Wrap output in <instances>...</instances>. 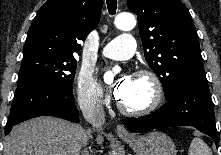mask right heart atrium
Instances as JSON below:
<instances>
[{
    "mask_svg": "<svg viewBox=\"0 0 221 155\" xmlns=\"http://www.w3.org/2000/svg\"><path fill=\"white\" fill-rule=\"evenodd\" d=\"M76 95L79 103L84 106L99 107L106 102L101 86L88 70H82L77 77Z\"/></svg>",
    "mask_w": 221,
    "mask_h": 155,
    "instance_id": "d8ad5b80",
    "label": "right heart atrium"
}]
</instances>
